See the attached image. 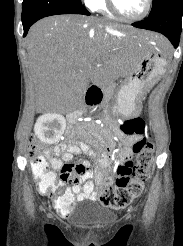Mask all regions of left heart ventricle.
<instances>
[{
    "instance_id": "left-heart-ventricle-1",
    "label": "left heart ventricle",
    "mask_w": 183,
    "mask_h": 246,
    "mask_svg": "<svg viewBox=\"0 0 183 246\" xmlns=\"http://www.w3.org/2000/svg\"><path fill=\"white\" fill-rule=\"evenodd\" d=\"M119 11L128 17L141 14L146 6V0H115Z\"/></svg>"
}]
</instances>
